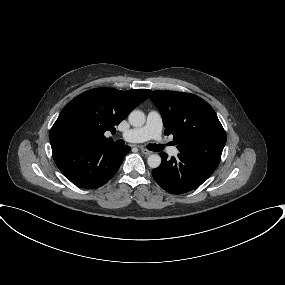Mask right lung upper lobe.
Listing matches in <instances>:
<instances>
[{
  "instance_id": "right-lung-upper-lobe-1",
  "label": "right lung upper lobe",
  "mask_w": 285,
  "mask_h": 285,
  "mask_svg": "<svg viewBox=\"0 0 285 285\" xmlns=\"http://www.w3.org/2000/svg\"><path fill=\"white\" fill-rule=\"evenodd\" d=\"M150 92L96 88L78 95L63 108L51 128L50 144L70 141L92 146L113 144L104 136L105 131L114 133L115 126L147 99Z\"/></svg>"
}]
</instances>
